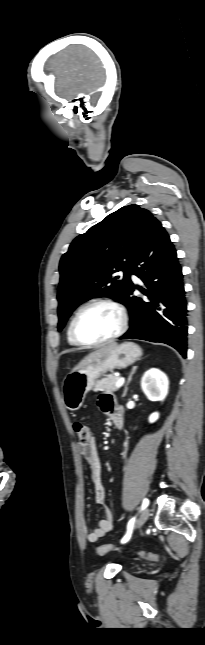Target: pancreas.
<instances>
[{
    "label": "pancreas",
    "instance_id": "1",
    "mask_svg": "<svg viewBox=\"0 0 205 645\" xmlns=\"http://www.w3.org/2000/svg\"><path fill=\"white\" fill-rule=\"evenodd\" d=\"M120 379L118 376H107L106 378L101 379L100 381H97L94 385V391H103V392H115L118 390V387L116 386L117 381Z\"/></svg>",
    "mask_w": 205,
    "mask_h": 645
}]
</instances>
